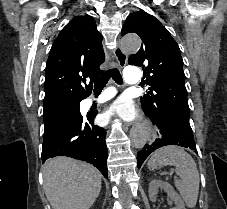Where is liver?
I'll list each match as a JSON object with an SVG mask.
<instances>
[{
	"label": "liver",
	"mask_w": 227,
	"mask_h": 209,
	"mask_svg": "<svg viewBox=\"0 0 227 209\" xmlns=\"http://www.w3.org/2000/svg\"><path fill=\"white\" fill-rule=\"evenodd\" d=\"M43 187L52 209H90L101 191V173L87 163L56 157L44 165Z\"/></svg>",
	"instance_id": "6515ba94"
}]
</instances>
